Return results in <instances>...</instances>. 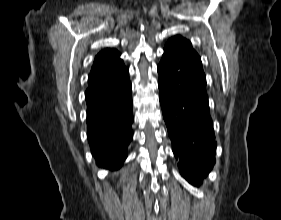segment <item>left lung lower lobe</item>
<instances>
[{"label":"left lung lower lobe","instance_id":"0a47b994","mask_svg":"<svg viewBox=\"0 0 281 220\" xmlns=\"http://www.w3.org/2000/svg\"><path fill=\"white\" fill-rule=\"evenodd\" d=\"M160 104L181 175L198 183L215 164L216 142L199 55L164 52L157 67Z\"/></svg>","mask_w":281,"mask_h":220}]
</instances>
